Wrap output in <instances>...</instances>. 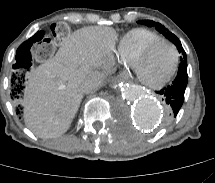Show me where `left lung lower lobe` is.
<instances>
[{"mask_svg": "<svg viewBox=\"0 0 215 183\" xmlns=\"http://www.w3.org/2000/svg\"><path fill=\"white\" fill-rule=\"evenodd\" d=\"M188 82L187 58L181 61L177 76L171 85L158 91L167 105V117H176L184 101V93Z\"/></svg>", "mask_w": 215, "mask_h": 183, "instance_id": "1", "label": "left lung lower lobe"}]
</instances>
